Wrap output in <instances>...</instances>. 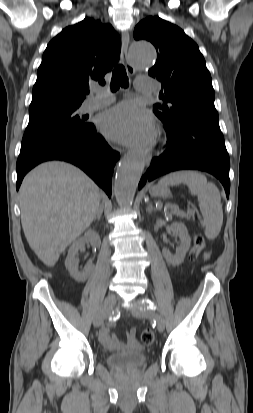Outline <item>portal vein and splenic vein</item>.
Instances as JSON below:
<instances>
[{"instance_id": "18ae733b", "label": "portal vein and splenic vein", "mask_w": 253, "mask_h": 413, "mask_svg": "<svg viewBox=\"0 0 253 413\" xmlns=\"http://www.w3.org/2000/svg\"><path fill=\"white\" fill-rule=\"evenodd\" d=\"M174 209H175V211H178V208L174 207ZM182 214H184V213L182 212Z\"/></svg>"}]
</instances>
